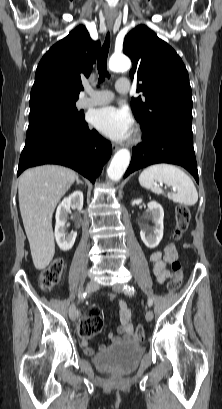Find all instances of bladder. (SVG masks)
I'll list each match as a JSON object with an SVG mask.
<instances>
[{
  "label": "bladder",
  "mask_w": 222,
  "mask_h": 409,
  "mask_svg": "<svg viewBox=\"0 0 222 409\" xmlns=\"http://www.w3.org/2000/svg\"><path fill=\"white\" fill-rule=\"evenodd\" d=\"M145 348L135 342H123L108 347L95 355L94 365L104 372L129 373L133 371Z\"/></svg>",
  "instance_id": "1"
}]
</instances>
